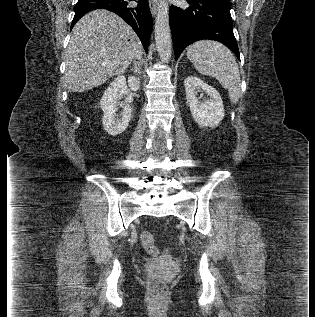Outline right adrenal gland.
<instances>
[{
  "instance_id": "obj_1",
  "label": "right adrenal gland",
  "mask_w": 315,
  "mask_h": 317,
  "mask_svg": "<svg viewBox=\"0 0 315 317\" xmlns=\"http://www.w3.org/2000/svg\"><path fill=\"white\" fill-rule=\"evenodd\" d=\"M141 66H142V62H135L134 63V67L132 69V71L137 74V75H141Z\"/></svg>"
}]
</instances>
